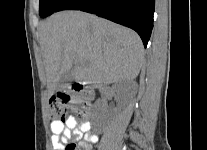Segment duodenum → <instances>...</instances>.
<instances>
[{"label": "duodenum", "mask_w": 207, "mask_h": 150, "mask_svg": "<svg viewBox=\"0 0 207 150\" xmlns=\"http://www.w3.org/2000/svg\"><path fill=\"white\" fill-rule=\"evenodd\" d=\"M73 90L79 92V91H83L85 93V97L87 99H91L92 97V91L89 89H86L81 83H73L72 85Z\"/></svg>", "instance_id": "duodenum-1"}]
</instances>
